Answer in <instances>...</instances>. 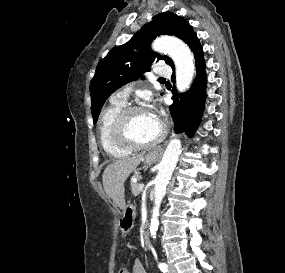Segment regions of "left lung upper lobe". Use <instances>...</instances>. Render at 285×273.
<instances>
[{
    "mask_svg": "<svg viewBox=\"0 0 285 273\" xmlns=\"http://www.w3.org/2000/svg\"><path fill=\"white\" fill-rule=\"evenodd\" d=\"M194 31L181 16L171 12L158 14L127 43L114 47L103 58L90 83L91 112L94 124L106 99L122 85L150 71L153 62L163 59L173 65L171 58L150 49L151 42L159 35H174L185 43Z\"/></svg>",
    "mask_w": 285,
    "mask_h": 273,
    "instance_id": "left-lung-upper-lobe-1",
    "label": "left lung upper lobe"
}]
</instances>
